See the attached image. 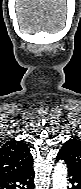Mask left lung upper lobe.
<instances>
[{"mask_svg": "<svg viewBox=\"0 0 81 189\" xmlns=\"http://www.w3.org/2000/svg\"><path fill=\"white\" fill-rule=\"evenodd\" d=\"M58 155L65 161L68 170L81 175V140L72 137L63 144Z\"/></svg>", "mask_w": 81, "mask_h": 189, "instance_id": "5c2ea615", "label": "left lung upper lobe"}]
</instances>
